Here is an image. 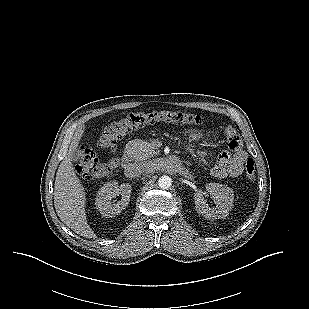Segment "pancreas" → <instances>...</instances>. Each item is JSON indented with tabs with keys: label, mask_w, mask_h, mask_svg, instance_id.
<instances>
[{
	"label": "pancreas",
	"mask_w": 309,
	"mask_h": 309,
	"mask_svg": "<svg viewBox=\"0 0 309 309\" xmlns=\"http://www.w3.org/2000/svg\"><path fill=\"white\" fill-rule=\"evenodd\" d=\"M134 143L136 146L134 157L137 161H145L154 154V148L151 143L146 141H136Z\"/></svg>",
	"instance_id": "obj_1"
}]
</instances>
